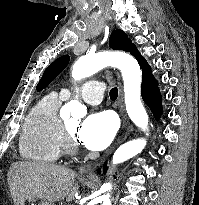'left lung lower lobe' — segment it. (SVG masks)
<instances>
[{
    "label": "left lung lower lobe",
    "instance_id": "0a47b994",
    "mask_svg": "<svg viewBox=\"0 0 199 205\" xmlns=\"http://www.w3.org/2000/svg\"><path fill=\"white\" fill-rule=\"evenodd\" d=\"M127 52H130L138 60L142 69V85L141 95L145 103L150 107L154 117L158 119L162 113L161 108V95L157 88V82L151 73V68L146 60L140 55L135 45L131 42ZM107 166L104 164L103 172L106 173ZM101 173V170H98Z\"/></svg>",
    "mask_w": 199,
    "mask_h": 205
}]
</instances>
